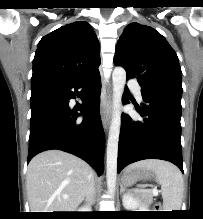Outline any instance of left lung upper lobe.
I'll list each match as a JSON object with an SVG mask.
<instances>
[{"mask_svg": "<svg viewBox=\"0 0 203 219\" xmlns=\"http://www.w3.org/2000/svg\"><path fill=\"white\" fill-rule=\"evenodd\" d=\"M127 78H136L144 91L182 94V71L167 40L150 26L133 22L126 26L114 56Z\"/></svg>", "mask_w": 203, "mask_h": 219, "instance_id": "1", "label": "left lung upper lobe"}]
</instances>
